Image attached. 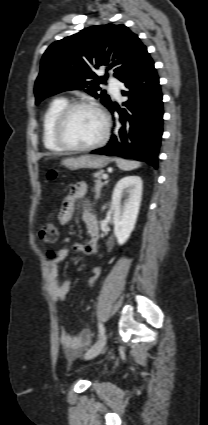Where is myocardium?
Wrapping results in <instances>:
<instances>
[{
    "label": "myocardium",
    "instance_id": "f54148a6",
    "mask_svg": "<svg viewBox=\"0 0 208 425\" xmlns=\"http://www.w3.org/2000/svg\"><path fill=\"white\" fill-rule=\"evenodd\" d=\"M81 108H86L97 112L103 121V132L99 139L92 144L86 146H77L69 143L65 138V129L72 113ZM110 133V118L106 111L98 104L89 101H75L68 103L57 116L54 125L53 137L55 142L64 150L71 152H88L104 145Z\"/></svg>",
    "mask_w": 208,
    "mask_h": 425
}]
</instances>
